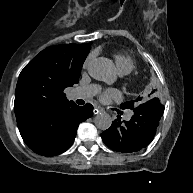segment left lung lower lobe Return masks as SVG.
Listing matches in <instances>:
<instances>
[{
  "instance_id": "0a47b994",
  "label": "left lung lower lobe",
  "mask_w": 193,
  "mask_h": 193,
  "mask_svg": "<svg viewBox=\"0 0 193 193\" xmlns=\"http://www.w3.org/2000/svg\"><path fill=\"white\" fill-rule=\"evenodd\" d=\"M163 106L159 100H150L134 109L130 121H114L101 135L104 143L113 150L132 153L146 147L154 138Z\"/></svg>"
}]
</instances>
